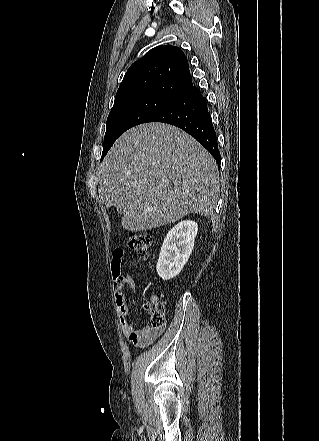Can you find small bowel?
<instances>
[{
	"instance_id": "obj_1",
	"label": "small bowel",
	"mask_w": 319,
	"mask_h": 441,
	"mask_svg": "<svg viewBox=\"0 0 319 441\" xmlns=\"http://www.w3.org/2000/svg\"><path fill=\"white\" fill-rule=\"evenodd\" d=\"M124 251L121 248H116L112 252V265L119 264L123 259ZM115 287V303L118 313L121 330L125 338L131 344L139 347L147 346L153 343L162 334L164 325L155 328L152 326H145L143 328H137L132 323L129 317V306L126 301L124 288L131 289L136 295H138L135 279L132 275L123 274L121 272V283Z\"/></svg>"
}]
</instances>
